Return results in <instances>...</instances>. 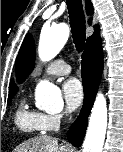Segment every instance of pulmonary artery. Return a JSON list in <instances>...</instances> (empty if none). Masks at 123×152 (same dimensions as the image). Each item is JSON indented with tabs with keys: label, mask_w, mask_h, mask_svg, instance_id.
Here are the masks:
<instances>
[{
	"label": "pulmonary artery",
	"mask_w": 123,
	"mask_h": 152,
	"mask_svg": "<svg viewBox=\"0 0 123 152\" xmlns=\"http://www.w3.org/2000/svg\"><path fill=\"white\" fill-rule=\"evenodd\" d=\"M71 67L62 59L52 61L44 70V76L66 75L70 73Z\"/></svg>",
	"instance_id": "pulmonary-artery-1"
}]
</instances>
